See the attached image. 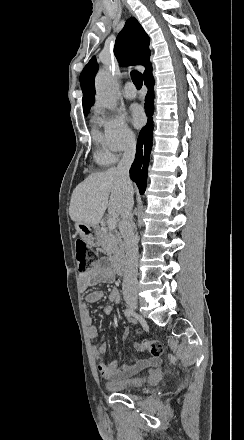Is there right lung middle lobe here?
I'll return each mask as SVG.
<instances>
[{"instance_id": "dd1d6c3e", "label": "right lung middle lobe", "mask_w": 244, "mask_h": 440, "mask_svg": "<svg viewBox=\"0 0 244 440\" xmlns=\"http://www.w3.org/2000/svg\"><path fill=\"white\" fill-rule=\"evenodd\" d=\"M87 113H88V111H87V112H84V115L86 116V115H87Z\"/></svg>"}]
</instances>
